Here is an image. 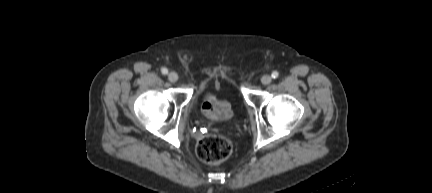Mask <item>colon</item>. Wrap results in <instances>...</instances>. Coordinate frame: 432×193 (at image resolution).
Instances as JSON below:
<instances>
[{
  "label": "colon",
  "mask_w": 432,
  "mask_h": 193,
  "mask_svg": "<svg viewBox=\"0 0 432 193\" xmlns=\"http://www.w3.org/2000/svg\"><path fill=\"white\" fill-rule=\"evenodd\" d=\"M232 149V142L229 139L208 135L198 142L196 153L203 162L215 165L226 160L231 155Z\"/></svg>",
  "instance_id": "5ec220e1"
}]
</instances>
